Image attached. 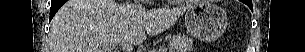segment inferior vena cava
Wrapping results in <instances>:
<instances>
[{"label":"inferior vena cava","instance_id":"602c4592","mask_svg":"<svg viewBox=\"0 0 305 52\" xmlns=\"http://www.w3.org/2000/svg\"><path fill=\"white\" fill-rule=\"evenodd\" d=\"M132 8L134 9H142V5L140 4V2L138 0H135L133 4L130 5ZM123 52H132L133 51V47L132 45H124L122 47Z\"/></svg>","mask_w":305,"mask_h":52}]
</instances>
